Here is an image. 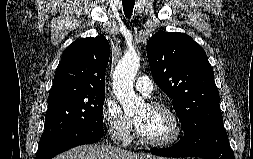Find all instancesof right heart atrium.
<instances>
[{"label":"right heart atrium","instance_id":"d8ad5b80","mask_svg":"<svg viewBox=\"0 0 253 159\" xmlns=\"http://www.w3.org/2000/svg\"><path fill=\"white\" fill-rule=\"evenodd\" d=\"M102 119L110 137L120 143L130 141L133 133V121L125 115L115 100L105 99L102 107Z\"/></svg>","mask_w":253,"mask_h":159}]
</instances>
